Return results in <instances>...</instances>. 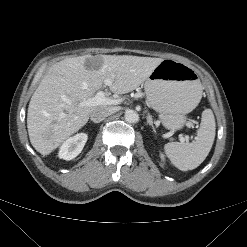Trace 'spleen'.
Listing matches in <instances>:
<instances>
[{
	"label": "spleen",
	"mask_w": 247,
	"mask_h": 247,
	"mask_svg": "<svg viewBox=\"0 0 247 247\" xmlns=\"http://www.w3.org/2000/svg\"><path fill=\"white\" fill-rule=\"evenodd\" d=\"M215 129L213 112L211 109H205L194 142H169L165 144L164 151L171 163L181 171L197 168L206 159L212 148Z\"/></svg>",
	"instance_id": "spleen-1"
}]
</instances>
